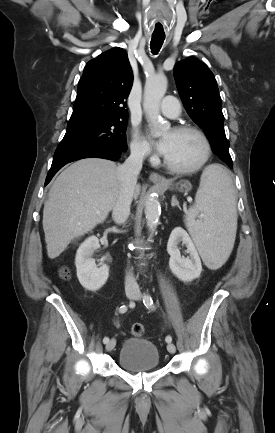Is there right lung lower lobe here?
Wrapping results in <instances>:
<instances>
[{
  "instance_id": "98d812e1",
  "label": "right lung lower lobe",
  "mask_w": 275,
  "mask_h": 433,
  "mask_svg": "<svg viewBox=\"0 0 275 433\" xmlns=\"http://www.w3.org/2000/svg\"><path fill=\"white\" fill-rule=\"evenodd\" d=\"M125 152L115 147H99L90 148L84 150H69L56 152L51 168L48 172L45 185H47L52 177L67 163L76 161L83 158H105L113 161H117L121 157V153Z\"/></svg>"
}]
</instances>
